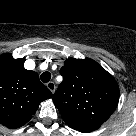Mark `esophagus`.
<instances>
[{
  "label": "esophagus",
  "mask_w": 136,
  "mask_h": 136,
  "mask_svg": "<svg viewBox=\"0 0 136 136\" xmlns=\"http://www.w3.org/2000/svg\"><path fill=\"white\" fill-rule=\"evenodd\" d=\"M46 86H47V88H48L52 93L55 92L56 86H55V83H54V82L50 81V82H48V83L46 84Z\"/></svg>",
  "instance_id": "34e87169"
}]
</instances>
